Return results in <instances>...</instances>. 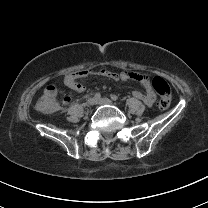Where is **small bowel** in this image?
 <instances>
[{
  "mask_svg": "<svg viewBox=\"0 0 208 208\" xmlns=\"http://www.w3.org/2000/svg\"><path fill=\"white\" fill-rule=\"evenodd\" d=\"M102 77L115 79V80H126L130 79L138 82L144 88V92L134 91L133 96L139 100H142L146 105L151 106L155 101V94L151 89L148 79L138 73H127V72H115L112 70H102L99 72ZM88 72L85 70L71 73L65 77V85L76 91L83 92L84 86L78 81L79 79L87 77Z\"/></svg>",
  "mask_w": 208,
  "mask_h": 208,
  "instance_id": "obj_1",
  "label": "small bowel"
}]
</instances>
